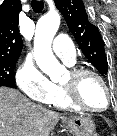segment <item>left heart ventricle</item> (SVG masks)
Masks as SVG:
<instances>
[{
    "label": "left heart ventricle",
    "mask_w": 117,
    "mask_h": 136,
    "mask_svg": "<svg viewBox=\"0 0 117 136\" xmlns=\"http://www.w3.org/2000/svg\"><path fill=\"white\" fill-rule=\"evenodd\" d=\"M71 76L68 73L62 84H69ZM78 97L87 107L92 109H102L106 106L107 95L101 82L91 75L82 77L78 83Z\"/></svg>",
    "instance_id": "obj_1"
}]
</instances>
